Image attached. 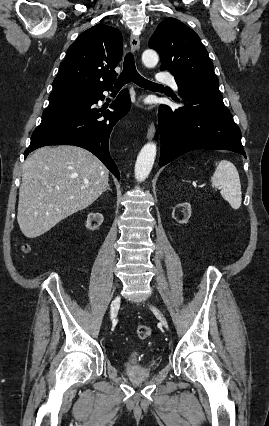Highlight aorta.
<instances>
[{"mask_svg": "<svg viewBox=\"0 0 269 426\" xmlns=\"http://www.w3.org/2000/svg\"><path fill=\"white\" fill-rule=\"evenodd\" d=\"M159 61V56L156 51L152 49H147L142 54V62L146 67L152 68L157 65ZM156 156V144L153 142H148L145 144L141 151L138 154L136 163H135V178L138 181L145 180L150 174Z\"/></svg>", "mask_w": 269, "mask_h": 426, "instance_id": "aorta-1", "label": "aorta"}]
</instances>
